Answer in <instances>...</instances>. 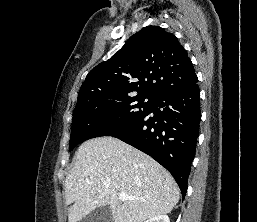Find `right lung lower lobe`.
Here are the masks:
<instances>
[{"label":"right lung lower lobe","mask_w":257,"mask_h":222,"mask_svg":"<svg viewBox=\"0 0 257 222\" xmlns=\"http://www.w3.org/2000/svg\"><path fill=\"white\" fill-rule=\"evenodd\" d=\"M198 79L154 98L153 108L137 123L112 137L148 154L176 180L183 197L199 135Z\"/></svg>","instance_id":"98d812e1"}]
</instances>
